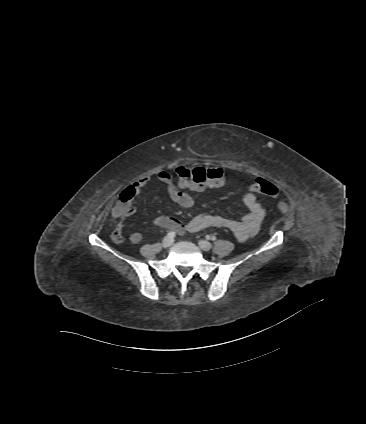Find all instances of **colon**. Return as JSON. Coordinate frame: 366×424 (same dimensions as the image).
<instances>
[{
	"label": "colon",
	"mask_w": 366,
	"mask_h": 424,
	"mask_svg": "<svg viewBox=\"0 0 366 424\" xmlns=\"http://www.w3.org/2000/svg\"><path fill=\"white\" fill-rule=\"evenodd\" d=\"M176 173L180 183L189 188L207 187L217 182V178H220L222 174V172H216L214 168L187 167H178ZM252 189L273 198H276L279 194L278 188L274 184L262 178L256 179L252 184ZM134 195L135 191L131 188L121 194L120 201L113 210L120 218L129 216L134 212L132 203ZM277 206L281 213H287L289 210L288 204L283 201H280Z\"/></svg>",
	"instance_id": "1"
}]
</instances>
